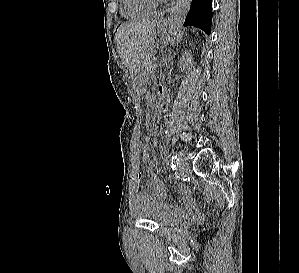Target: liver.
<instances>
[{
    "mask_svg": "<svg viewBox=\"0 0 299 273\" xmlns=\"http://www.w3.org/2000/svg\"><path fill=\"white\" fill-rule=\"evenodd\" d=\"M156 20L122 24L115 35L116 49L122 63L136 78L142 61L155 43Z\"/></svg>",
    "mask_w": 299,
    "mask_h": 273,
    "instance_id": "liver-1",
    "label": "liver"
}]
</instances>
